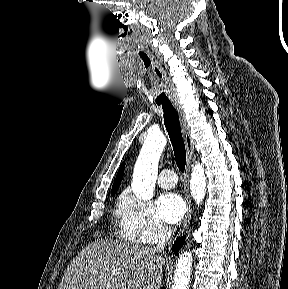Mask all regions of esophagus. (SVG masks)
Returning a JSON list of instances; mask_svg holds the SVG:
<instances>
[{"instance_id":"esophagus-1","label":"esophagus","mask_w":288,"mask_h":289,"mask_svg":"<svg viewBox=\"0 0 288 289\" xmlns=\"http://www.w3.org/2000/svg\"><path fill=\"white\" fill-rule=\"evenodd\" d=\"M173 105L179 115V120H180V124L182 128V132H183L186 153H187V164H186V170H185V183H186L185 199H186V204H187V210H186V214L183 219L180 232H179L180 234H183L190 224L191 215H192V205H191V200H190V195H189V174L191 170V163H192V160L194 159V141L191 137L190 128L187 123L186 116H185V113L183 111V108L180 102L173 101Z\"/></svg>"}]
</instances>
